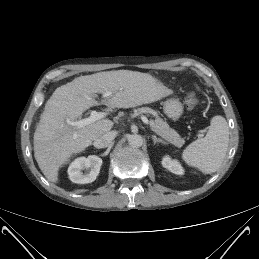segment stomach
Masks as SVG:
<instances>
[{
	"instance_id": "0dacf381",
	"label": "stomach",
	"mask_w": 259,
	"mask_h": 259,
	"mask_svg": "<svg viewBox=\"0 0 259 259\" xmlns=\"http://www.w3.org/2000/svg\"><path fill=\"white\" fill-rule=\"evenodd\" d=\"M164 113L174 120L178 119L183 113V105L177 99H168L163 105Z\"/></svg>"
}]
</instances>
